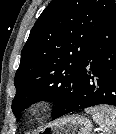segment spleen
I'll return each mask as SVG.
<instances>
[{"mask_svg": "<svg viewBox=\"0 0 116 134\" xmlns=\"http://www.w3.org/2000/svg\"><path fill=\"white\" fill-rule=\"evenodd\" d=\"M86 112L91 114L103 134H116V108L101 105L87 108Z\"/></svg>", "mask_w": 116, "mask_h": 134, "instance_id": "1", "label": "spleen"}]
</instances>
